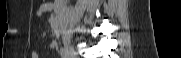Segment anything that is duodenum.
I'll return each instance as SVG.
<instances>
[{
	"instance_id": "duodenum-1",
	"label": "duodenum",
	"mask_w": 181,
	"mask_h": 58,
	"mask_svg": "<svg viewBox=\"0 0 181 58\" xmlns=\"http://www.w3.org/2000/svg\"><path fill=\"white\" fill-rule=\"evenodd\" d=\"M64 0H56L54 2V7L57 13L62 14L64 12Z\"/></svg>"
}]
</instances>
